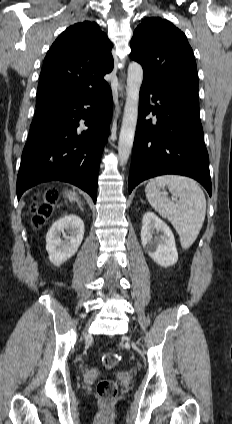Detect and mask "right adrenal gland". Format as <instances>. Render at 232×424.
<instances>
[{
	"label": "right adrenal gland",
	"instance_id": "1",
	"mask_svg": "<svg viewBox=\"0 0 232 424\" xmlns=\"http://www.w3.org/2000/svg\"><path fill=\"white\" fill-rule=\"evenodd\" d=\"M76 203H77L78 207L83 211L82 202L79 198H76Z\"/></svg>",
	"mask_w": 232,
	"mask_h": 424
}]
</instances>
